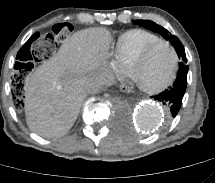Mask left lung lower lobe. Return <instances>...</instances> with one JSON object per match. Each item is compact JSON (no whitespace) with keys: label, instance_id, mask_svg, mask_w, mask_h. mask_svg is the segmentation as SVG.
Returning <instances> with one entry per match:
<instances>
[{"label":"left lung lower lobe","instance_id":"1","mask_svg":"<svg viewBox=\"0 0 215 183\" xmlns=\"http://www.w3.org/2000/svg\"><path fill=\"white\" fill-rule=\"evenodd\" d=\"M187 73L188 69L186 67L179 69L173 85L154 97L155 100L167 107L168 120L174 118L180 110L187 86Z\"/></svg>","mask_w":215,"mask_h":183}]
</instances>
